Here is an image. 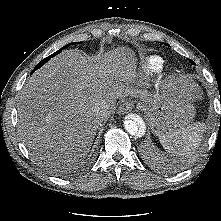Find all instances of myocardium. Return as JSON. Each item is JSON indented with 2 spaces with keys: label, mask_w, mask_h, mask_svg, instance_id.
Instances as JSON below:
<instances>
[{
  "label": "myocardium",
  "mask_w": 221,
  "mask_h": 221,
  "mask_svg": "<svg viewBox=\"0 0 221 221\" xmlns=\"http://www.w3.org/2000/svg\"><path fill=\"white\" fill-rule=\"evenodd\" d=\"M178 78V71L172 70L168 75V82H174Z\"/></svg>",
  "instance_id": "f54148a6"
}]
</instances>
